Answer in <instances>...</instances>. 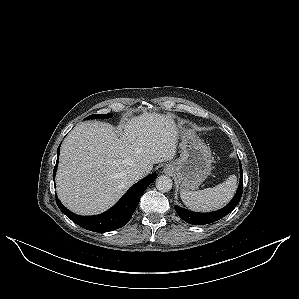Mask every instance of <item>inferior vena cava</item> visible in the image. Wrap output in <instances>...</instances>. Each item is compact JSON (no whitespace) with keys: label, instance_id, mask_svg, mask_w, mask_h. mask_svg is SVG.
<instances>
[{"label":"inferior vena cava","instance_id":"1","mask_svg":"<svg viewBox=\"0 0 299 299\" xmlns=\"http://www.w3.org/2000/svg\"><path fill=\"white\" fill-rule=\"evenodd\" d=\"M129 174H130V177L134 181H136V180L141 179L146 174V171L143 168H135V169L131 170Z\"/></svg>","mask_w":299,"mask_h":299}]
</instances>
